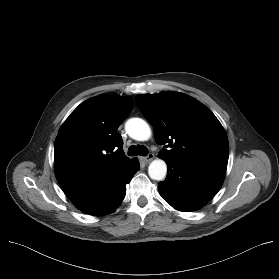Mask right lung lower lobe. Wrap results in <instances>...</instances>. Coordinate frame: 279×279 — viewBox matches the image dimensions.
Instances as JSON below:
<instances>
[{"mask_svg": "<svg viewBox=\"0 0 279 279\" xmlns=\"http://www.w3.org/2000/svg\"><path fill=\"white\" fill-rule=\"evenodd\" d=\"M140 165L134 162L110 180L88 190L69 195L68 198L81 211L94 216L109 214L125 197V185L130 182Z\"/></svg>", "mask_w": 279, "mask_h": 279, "instance_id": "obj_1", "label": "right lung lower lobe"}]
</instances>
